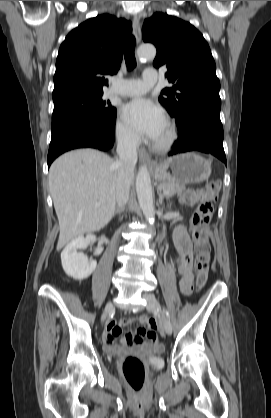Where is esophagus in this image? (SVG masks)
I'll return each instance as SVG.
<instances>
[{"label":"esophagus","mask_w":271,"mask_h":418,"mask_svg":"<svg viewBox=\"0 0 271 418\" xmlns=\"http://www.w3.org/2000/svg\"><path fill=\"white\" fill-rule=\"evenodd\" d=\"M133 30H134L136 42L139 43L141 40V28H140V21H139L138 16L133 17ZM139 158L142 162H145L151 166L155 164L154 161L148 155V153L144 150H141L139 152Z\"/></svg>","instance_id":"34e87169"}]
</instances>
